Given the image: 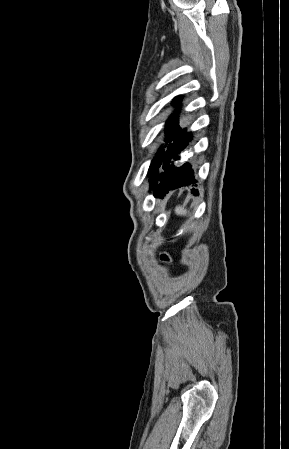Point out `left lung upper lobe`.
I'll list each match as a JSON object with an SVG mask.
<instances>
[{"instance_id":"1","label":"left lung upper lobe","mask_w":289,"mask_h":449,"mask_svg":"<svg viewBox=\"0 0 289 449\" xmlns=\"http://www.w3.org/2000/svg\"><path fill=\"white\" fill-rule=\"evenodd\" d=\"M180 100L181 96H177L172 100V103L174 105H177L180 103ZM179 131H180L179 118L178 114L176 113L171 115V117L167 120L165 124V133L167 134L166 141L170 142ZM164 154L165 152L164 149L162 148L157 152L155 159L152 160L149 171L150 177H153L159 173V168L162 165Z\"/></svg>"}]
</instances>
